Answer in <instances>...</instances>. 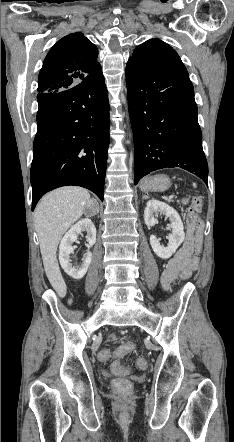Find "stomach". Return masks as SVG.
<instances>
[{
	"label": "stomach",
	"instance_id": "0dacf381",
	"mask_svg": "<svg viewBox=\"0 0 234 442\" xmlns=\"http://www.w3.org/2000/svg\"><path fill=\"white\" fill-rule=\"evenodd\" d=\"M170 185L171 182L169 177H167L166 175H155L144 179L140 184V189L144 192H161L167 190Z\"/></svg>",
	"mask_w": 234,
	"mask_h": 442
}]
</instances>
